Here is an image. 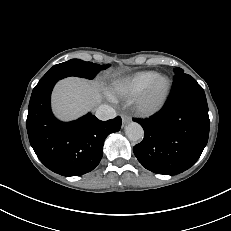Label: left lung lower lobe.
<instances>
[{"instance_id": "0a47b994", "label": "left lung lower lobe", "mask_w": 231, "mask_h": 231, "mask_svg": "<svg viewBox=\"0 0 231 231\" xmlns=\"http://www.w3.org/2000/svg\"><path fill=\"white\" fill-rule=\"evenodd\" d=\"M144 129L134 146L138 161L148 170L176 175L199 159L209 136L208 105L203 88L188 74L174 77L164 107L149 119H133Z\"/></svg>"}]
</instances>
